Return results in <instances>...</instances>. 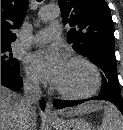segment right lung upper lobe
<instances>
[{
	"label": "right lung upper lobe",
	"instance_id": "right-lung-upper-lobe-1",
	"mask_svg": "<svg viewBox=\"0 0 123 130\" xmlns=\"http://www.w3.org/2000/svg\"><path fill=\"white\" fill-rule=\"evenodd\" d=\"M28 0H1V45H11L16 39L15 29L20 28Z\"/></svg>",
	"mask_w": 123,
	"mask_h": 130
}]
</instances>
